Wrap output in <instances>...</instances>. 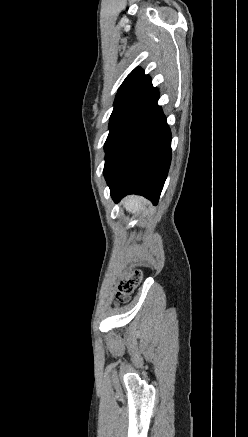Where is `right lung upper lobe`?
<instances>
[{
  "label": "right lung upper lobe",
  "instance_id": "right-lung-upper-lobe-1",
  "mask_svg": "<svg viewBox=\"0 0 248 437\" xmlns=\"http://www.w3.org/2000/svg\"><path fill=\"white\" fill-rule=\"evenodd\" d=\"M149 85H151V78L137 67L126 77L118 89L116 99L132 94L140 95Z\"/></svg>",
  "mask_w": 248,
  "mask_h": 437
}]
</instances>
